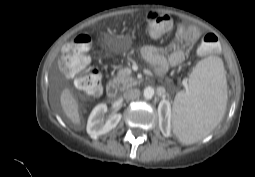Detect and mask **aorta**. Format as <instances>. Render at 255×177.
<instances>
[{
  "label": "aorta",
  "mask_w": 255,
  "mask_h": 177,
  "mask_svg": "<svg viewBox=\"0 0 255 177\" xmlns=\"http://www.w3.org/2000/svg\"><path fill=\"white\" fill-rule=\"evenodd\" d=\"M154 93H155L154 88H152V87H146V88L144 89L143 95H144V97H145L146 99H152L153 96H154Z\"/></svg>",
  "instance_id": "762f6f07"
}]
</instances>
